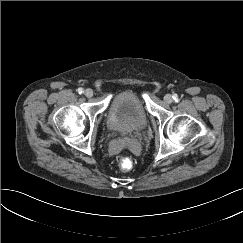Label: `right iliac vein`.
Listing matches in <instances>:
<instances>
[{
	"label": "right iliac vein",
	"instance_id": "63e3f726",
	"mask_svg": "<svg viewBox=\"0 0 243 243\" xmlns=\"http://www.w3.org/2000/svg\"><path fill=\"white\" fill-rule=\"evenodd\" d=\"M84 95L87 98H91L93 96V90L92 89H86L85 92H84Z\"/></svg>",
	"mask_w": 243,
	"mask_h": 243
}]
</instances>
